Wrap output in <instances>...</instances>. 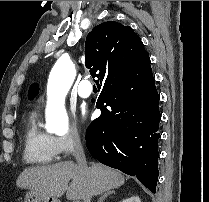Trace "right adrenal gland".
Here are the masks:
<instances>
[{"label": "right adrenal gland", "instance_id": "right-adrenal-gland-1", "mask_svg": "<svg viewBox=\"0 0 209 202\" xmlns=\"http://www.w3.org/2000/svg\"><path fill=\"white\" fill-rule=\"evenodd\" d=\"M115 191H107L99 198L98 202H103L109 195L114 194Z\"/></svg>", "mask_w": 209, "mask_h": 202}]
</instances>
